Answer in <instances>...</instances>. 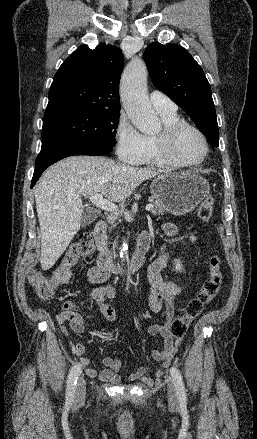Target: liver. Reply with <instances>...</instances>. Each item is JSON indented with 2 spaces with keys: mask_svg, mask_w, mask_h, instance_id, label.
Returning a JSON list of instances; mask_svg holds the SVG:
<instances>
[{
  "mask_svg": "<svg viewBox=\"0 0 257 439\" xmlns=\"http://www.w3.org/2000/svg\"><path fill=\"white\" fill-rule=\"evenodd\" d=\"M159 175L148 168L120 164L107 157L72 156L52 165L36 184L34 195L41 230L40 263L50 269L80 229V198L101 194L122 202L143 181Z\"/></svg>",
  "mask_w": 257,
  "mask_h": 439,
  "instance_id": "1",
  "label": "liver"
}]
</instances>
